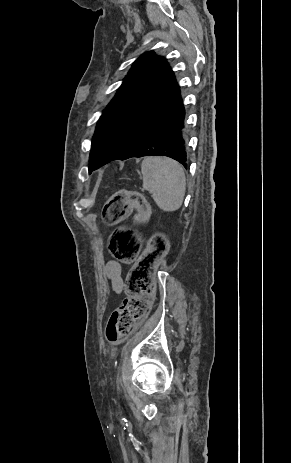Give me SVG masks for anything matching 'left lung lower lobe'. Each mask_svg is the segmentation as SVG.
Returning a JSON list of instances; mask_svg holds the SVG:
<instances>
[{
	"label": "left lung lower lobe",
	"mask_w": 291,
	"mask_h": 463,
	"mask_svg": "<svg viewBox=\"0 0 291 463\" xmlns=\"http://www.w3.org/2000/svg\"><path fill=\"white\" fill-rule=\"evenodd\" d=\"M185 109L182 99L173 110L153 127L142 141L121 157H111L97 162L89 170H95L112 160H126L132 157L168 156L187 167L186 137L184 134Z\"/></svg>",
	"instance_id": "0a47b994"
}]
</instances>
